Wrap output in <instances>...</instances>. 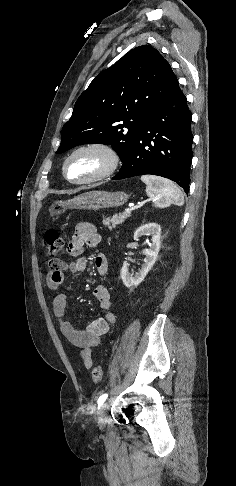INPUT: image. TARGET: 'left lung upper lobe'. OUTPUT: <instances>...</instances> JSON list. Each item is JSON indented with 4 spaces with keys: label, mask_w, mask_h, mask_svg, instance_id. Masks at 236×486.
I'll list each match as a JSON object with an SVG mask.
<instances>
[{
    "label": "left lung upper lobe",
    "mask_w": 236,
    "mask_h": 486,
    "mask_svg": "<svg viewBox=\"0 0 236 486\" xmlns=\"http://www.w3.org/2000/svg\"><path fill=\"white\" fill-rule=\"evenodd\" d=\"M177 83L171 66L155 48L132 49L80 95L56 153L103 143L111 144L124 161L148 118Z\"/></svg>",
    "instance_id": "1"
}]
</instances>
